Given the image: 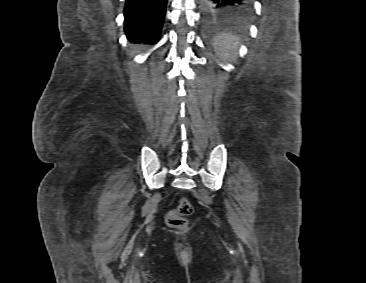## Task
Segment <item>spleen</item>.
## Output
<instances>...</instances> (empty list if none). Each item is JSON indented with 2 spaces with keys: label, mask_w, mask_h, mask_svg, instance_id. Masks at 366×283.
Listing matches in <instances>:
<instances>
[{
  "label": "spleen",
  "mask_w": 366,
  "mask_h": 283,
  "mask_svg": "<svg viewBox=\"0 0 366 283\" xmlns=\"http://www.w3.org/2000/svg\"><path fill=\"white\" fill-rule=\"evenodd\" d=\"M240 37L232 33H222L214 38V49L223 59L233 61L237 57Z\"/></svg>",
  "instance_id": "3e777b00"
}]
</instances>
